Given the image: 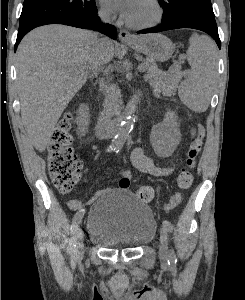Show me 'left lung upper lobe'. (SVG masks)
Masks as SVG:
<instances>
[{
	"instance_id": "5c2ea615",
	"label": "left lung upper lobe",
	"mask_w": 245,
	"mask_h": 300,
	"mask_svg": "<svg viewBox=\"0 0 245 300\" xmlns=\"http://www.w3.org/2000/svg\"><path fill=\"white\" fill-rule=\"evenodd\" d=\"M159 3L164 12L162 21L180 10H192L214 16L210 0H160Z\"/></svg>"
}]
</instances>
